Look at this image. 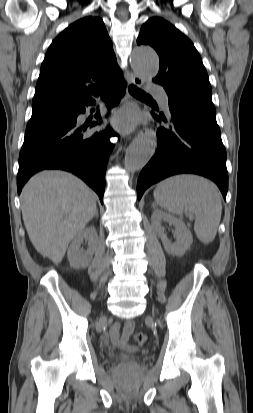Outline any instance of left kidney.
Returning <instances> with one entry per match:
<instances>
[{"label":"left kidney","mask_w":253,"mask_h":413,"mask_svg":"<svg viewBox=\"0 0 253 413\" xmlns=\"http://www.w3.org/2000/svg\"><path fill=\"white\" fill-rule=\"evenodd\" d=\"M168 222L175 227L174 236L177 238L176 243H171L164 233V228L161 222ZM152 226L161 238L165 251L173 256H183L185 252L190 248L193 238L189 229L184 222L178 218H175L161 210H155L152 214Z\"/></svg>","instance_id":"obj_1"}]
</instances>
